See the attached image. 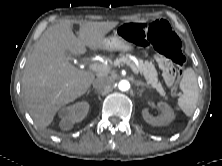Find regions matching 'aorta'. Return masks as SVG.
<instances>
[{"mask_svg": "<svg viewBox=\"0 0 222 166\" xmlns=\"http://www.w3.org/2000/svg\"><path fill=\"white\" fill-rule=\"evenodd\" d=\"M118 88H119V90H121V91H127V90H129V88H130V83H129L127 80H121V81L118 83Z\"/></svg>", "mask_w": 222, "mask_h": 166, "instance_id": "aorta-1", "label": "aorta"}]
</instances>
